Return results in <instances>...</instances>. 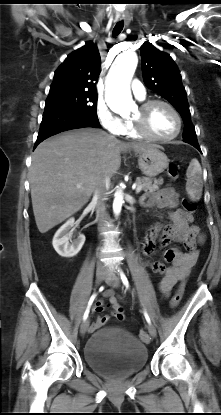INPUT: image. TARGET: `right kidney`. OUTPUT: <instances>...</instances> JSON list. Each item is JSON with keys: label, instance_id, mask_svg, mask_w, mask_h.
Masks as SVG:
<instances>
[{"label": "right kidney", "instance_id": "1", "mask_svg": "<svg viewBox=\"0 0 221 415\" xmlns=\"http://www.w3.org/2000/svg\"><path fill=\"white\" fill-rule=\"evenodd\" d=\"M74 226V218L67 220L53 237V247L55 251L62 257H73L79 253L85 242V236L79 234L78 238L69 242L71 237V229Z\"/></svg>", "mask_w": 221, "mask_h": 415}]
</instances>
